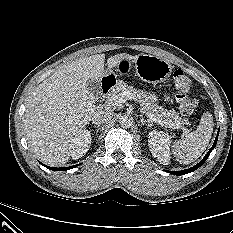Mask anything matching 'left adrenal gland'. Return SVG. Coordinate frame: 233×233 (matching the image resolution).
<instances>
[{"label": "left adrenal gland", "instance_id": "1", "mask_svg": "<svg viewBox=\"0 0 233 233\" xmlns=\"http://www.w3.org/2000/svg\"><path fill=\"white\" fill-rule=\"evenodd\" d=\"M140 120L142 125H146L148 127L153 126V123L150 120H145L142 115L140 116Z\"/></svg>", "mask_w": 233, "mask_h": 233}]
</instances>
